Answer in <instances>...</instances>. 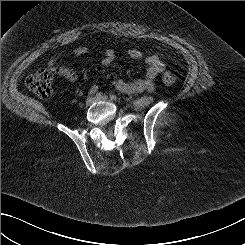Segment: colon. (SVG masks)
Segmentation results:
<instances>
[{
    "label": "colon",
    "mask_w": 245,
    "mask_h": 245,
    "mask_svg": "<svg viewBox=\"0 0 245 245\" xmlns=\"http://www.w3.org/2000/svg\"><path fill=\"white\" fill-rule=\"evenodd\" d=\"M175 80V75L168 71L162 76V83L167 87L172 86ZM52 82L53 75L45 68L37 70L26 78L27 88L41 99H48L52 95Z\"/></svg>",
    "instance_id": "obj_1"
}]
</instances>
